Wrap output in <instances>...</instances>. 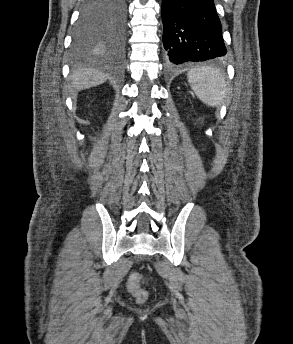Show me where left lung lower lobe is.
Segmentation results:
<instances>
[{
	"label": "left lung lower lobe",
	"mask_w": 293,
	"mask_h": 344,
	"mask_svg": "<svg viewBox=\"0 0 293 344\" xmlns=\"http://www.w3.org/2000/svg\"><path fill=\"white\" fill-rule=\"evenodd\" d=\"M163 44L171 65L226 55L213 0H162Z\"/></svg>",
	"instance_id": "left-lung-lower-lobe-1"
}]
</instances>
